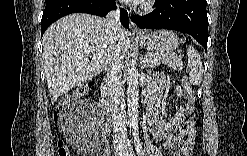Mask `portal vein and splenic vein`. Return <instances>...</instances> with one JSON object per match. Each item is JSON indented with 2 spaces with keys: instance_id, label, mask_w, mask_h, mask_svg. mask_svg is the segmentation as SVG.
<instances>
[{
  "instance_id": "1",
  "label": "portal vein and splenic vein",
  "mask_w": 247,
  "mask_h": 156,
  "mask_svg": "<svg viewBox=\"0 0 247 156\" xmlns=\"http://www.w3.org/2000/svg\"><path fill=\"white\" fill-rule=\"evenodd\" d=\"M144 62L147 63V62H148V58H145V59H144Z\"/></svg>"
}]
</instances>
